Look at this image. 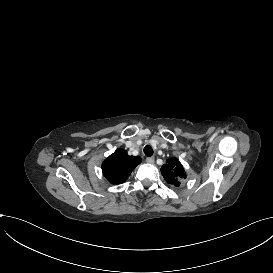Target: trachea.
<instances>
[{
  "mask_svg": "<svg viewBox=\"0 0 273 273\" xmlns=\"http://www.w3.org/2000/svg\"><path fill=\"white\" fill-rule=\"evenodd\" d=\"M144 153H145V155H146L147 157L152 156V155H153V149H152V147H151L150 145H146V146L144 147Z\"/></svg>",
  "mask_w": 273,
  "mask_h": 273,
  "instance_id": "trachea-1",
  "label": "trachea"
}]
</instances>
